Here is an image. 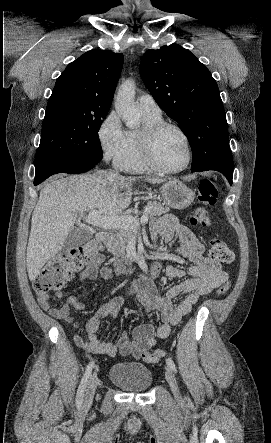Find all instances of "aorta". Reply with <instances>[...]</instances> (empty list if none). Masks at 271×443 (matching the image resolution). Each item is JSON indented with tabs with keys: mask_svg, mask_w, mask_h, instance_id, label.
<instances>
[{
	"mask_svg": "<svg viewBox=\"0 0 271 443\" xmlns=\"http://www.w3.org/2000/svg\"><path fill=\"white\" fill-rule=\"evenodd\" d=\"M135 90L134 80H125L117 92L115 102V110L129 130H136L141 122L139 108L134 106Z\"/></svg>",
	"mask_w": 271,
	"mask_h": 443,
	"instance_id": "obj_1",
	"label": "aorta"
}]
</instances>
